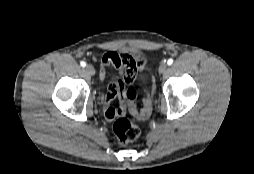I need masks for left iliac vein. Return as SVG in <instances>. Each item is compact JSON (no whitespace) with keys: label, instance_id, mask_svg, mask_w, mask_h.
I'll use <instances>...</instances> for the list:
<instances>
[{"label":"left iliac vein","instance_id":"left-iliac-vein-1","mask_svg":"<svg viewBox=\"0 0 254 174\" xmlns=\"http://www.w3.org/2000/svg\"><path fill=\"white\" fill-rule=\"evenodd\" d=\"M167 70H168V65H167L166 63L160 64V66H159V72H160V73H164V72H166Z\"/></svg>","mask_w":254,"mask_h":174}]
</instances>
